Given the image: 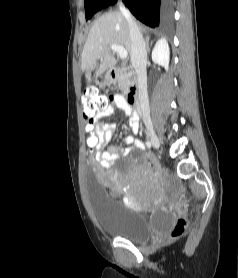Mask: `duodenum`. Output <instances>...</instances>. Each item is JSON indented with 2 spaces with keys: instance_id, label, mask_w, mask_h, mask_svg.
<instances>
[{
  "instance_id": "obj_1",
  "label": "duodenum",
  "mask_w": 238,
  "mask_h": 278,
  "mask_svg": "<svg viewBox=\"0 0 238 278\" xmlns=\"http://www.w3.org/2000/svg\"><path fill=\"white\" fill-rule=\"evenodd\" d=\"M126 71H130L128 68H112L108 72V78L111 82H115L118 80V78ZM127 102L130 105H136L137 104V86L133 84L128 92H127Z\"/></svg>"
}]
</instances>
